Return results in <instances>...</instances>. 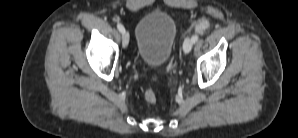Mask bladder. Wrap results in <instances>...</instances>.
Wrapping results in <instances>:
<instances>
[{"instance_id": "bladder-1", "label": "bladder", "mask_w": 298, "mask_h": 138, "mask_svg": "<svg viewBox=\"0 0 298 138\" xmlns=\"http://www.w3.org/2000/svg\"><path fill=\"white\" fill-rule=\"evenodd\" d=\"M174 37L172 22L163 16L146 19L138 28L136 45L142 61L150 66H159L165 59ZM158 42V49L153 52L150 48L152 41Z\"/></svg>"}]
</instances>
